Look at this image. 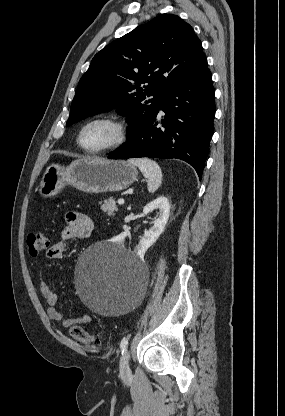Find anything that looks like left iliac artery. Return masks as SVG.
<instances>
[{"label":"left iliac artery","mask_w":285,"mask_h":416,"mask_svg":"<svg viewBox=\"0 0 285 416\" xmlns=\"http://www.w3.org/2000/svg\"><path fill=\"white\" fill-rule=\"evenodd\" d=\"M127 346H128V339L123 338L121 343H120V348H121L122 354L127 350Z\"/></svg>","instance_id":"1"}]
</instances>
